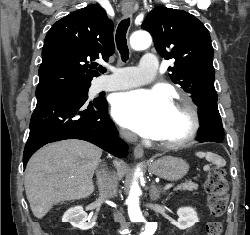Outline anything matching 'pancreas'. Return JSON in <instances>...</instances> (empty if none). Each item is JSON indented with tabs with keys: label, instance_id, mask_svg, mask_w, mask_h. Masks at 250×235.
Returning <instances> with one entry per match:
<instances>
[{
	"label": "pancreas",
	"instance_id": "obj_1",
	"mask_svg": "<svg viewBox=\"0 0 250 235\" xmlns=\"http://www.w3.org/2000/svg\"><path fill=\"white\" fill-rule=\"evenodd\" d=\"M198 184H195L194 182H187L183 183L175 188V191L177 190H187V191H193L197 190Z\"/></svg>",
	"mask_w": 250,
	"mask_h": 235
}]
</instances>
